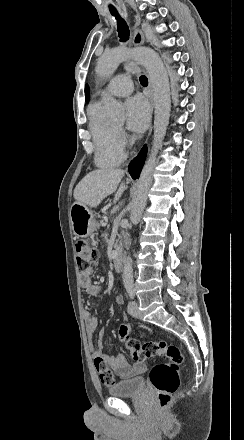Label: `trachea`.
Wrapping results in <instances>:
<instances>
[{
	"mask_svg": "<svg viewBox=\"0 0 244 440\" xmlns=\"http://www.w3.org/2000/svg\"><path fill=\"white\" fill-rule=\"evenodd\" d=\"M111 15L115 16L117 20V31L119 34V38L121 42H126L129 39L130 31L129 27L127 26V23L124 19L119 15L117 10L111 9L110 10ZM140 83L143 87H147L148 85V79L145 77V75H141L139 78Z\"/></svg>",
	"mask_w": 244,
	"mask_h": 440,
	"instance_id": "1",
	"label": "trachea"
}]
</instances>
